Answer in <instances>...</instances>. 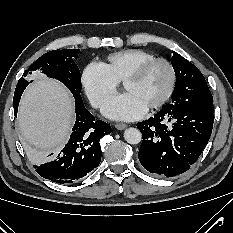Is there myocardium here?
I'll return each instance as SVG.
<instances>
[{"label":"myocardium","instance_id":"myocardium-1","mask_svg":"<svg viewBox=\"0 0 233 233\" xmlns=\"http://www.w3.org/2000/svg\"><path fill=\"white\" fill-rule=\"evenodd\" d=\"M155 64H163L167 67L169 71V83L165 93L158 101H156L147 108L148 111L156 110L162 107L170 99L174 91L176 85V78H177L176 70L173 64L165 58H153L137 66L123 81V86H125L130 82L139 80L147 72V70Z\"/></svg>","mask_w":233,"mask_h":233}]
</instances>
